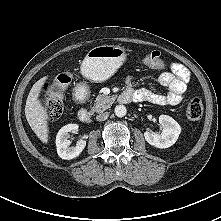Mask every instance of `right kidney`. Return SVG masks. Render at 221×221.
<instances>
[{
	"label": "right kidney",
	"mask_w": 221,
	"mask_h": 221,
	"mask_svg": "<svg viewBox=\"0 0 221 221\" xmlns=\"http://www.w3.org/2000/svg\"><path fill=\"white\" fill-rule=\"evenodd\" d=\"M79 126L77 124H67L63 126L56 136L57 153L64 160H71L78 157L86 146L85 140H79L75 147H69L71 141L69 138L70 132H76Z\"/></svg>",
	"instance_id": "ca27d5eb"
}]
</instances>
